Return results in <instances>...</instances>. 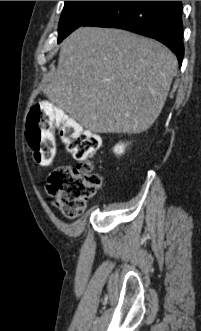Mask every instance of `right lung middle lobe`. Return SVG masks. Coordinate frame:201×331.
Masks as SVG:
<instances>
[{"instance_id": "obj_1", "label": "right lung middle lobe", "mask_w": 201, "mask_h": 331, "mask_svg": "<svg viewBox=\"0 0 201 331\" xmlns=\"http://www.w3.org/2000/svg\"><path fill=\"white\" fill-rule=\"evenodd\" d=\"M111 1H65L59 22L58 43L82 26Z\"/></svg>"}]
</instances>
